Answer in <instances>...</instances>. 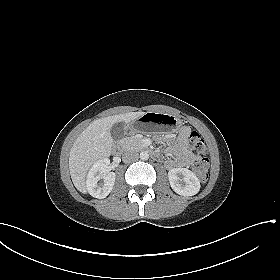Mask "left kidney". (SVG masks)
<instances>
[{
  "instance_id": "left-kidney-1",
  "label": "left kidney",
  "mask_w": 280,
  "mask_h": 280,
  "mask_svg": "<svg viewBox=\"0 0 280 280\" xmlns=\"http://www.w3.org/2000/svg\"><path fill=\"white\" fill-rule=\"evenodd\" d=\"M170 186L177 194L193 196L200 190V181L187 168H173L168 172Z\"/></svg>"
}]
</instances>
